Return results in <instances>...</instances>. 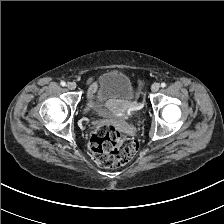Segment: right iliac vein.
I'll return each instance as SVG.
<instances>
[{
  "label": "right iliac vein",
  "instance_id": "obj_1",
  "mask_svg": "<svg viewBox=\"0 0 224 224\" xmlns=\"http://www.w3.org/2000/svg\"><path fill=\"white\" fill-rule=\"evenodd\" d=\"M66 86L69 90H74L76 88V84L74 82H68Z\"/></svg>",
  "mask_w": 224,
  "mask_h": 224
}]
</instances>
